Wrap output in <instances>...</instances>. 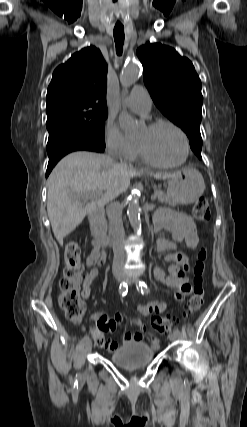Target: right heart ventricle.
Here are the masks:
<instances>
[{
  "instance_id": "e07e8e85",
  "label": "right heart ventricle",
  "mask_w": 247,
  "mask_h": 427,
  "mask_svg": "<svg viewBox=\"0 0 247 427\" xmlns=\"http://www.w3.org/2000/svg\"><path fill=\"white\" fill-rule=\"evenodd\" d=\"M138 154H139V152H138V149L136 148V152H135V154H134V156H133V157H137V156H138Z\"/></svg>"
}]
</instances>
